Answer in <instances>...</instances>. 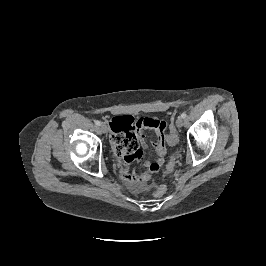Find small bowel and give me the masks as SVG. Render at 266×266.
<instances>
[{"label": "small bowel", "instance_id": "1", "mask_svg": "<svg viewBox=\"0 0 266 266\" xmlns=\"http://www.w3.org/2000/svg\"><path fill=\"white\" fill-rule=\"evenodd\" d=\"M110 128V139L119 159L122 180L132 191H142L151 175L157 173L165 162L166 142L172 144L170 132L166 131V122L160 119H135L129 115H119L111 120ZM146 129H152L156 133L157 138L153 146L157 158L147 163L146 172L136 173L130 169V165L139 162L143 156L142 149L147 147L144 135Z\"/></svg>", "mask_w": 266, "mask_h": 266}]
</instances>
